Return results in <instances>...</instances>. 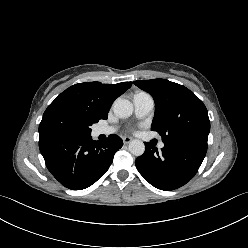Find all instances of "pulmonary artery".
Returning a JSON list of instances; mask_svg holds the SVG:
<instances>
[{
    "label": "pulmonary artery",
    "mask_w": 248,
    "mask_h": 248,
    "mask_svg": "<svg viewBox=\"0 0 248 248\" xmlns=\"http://www.w3.org/2000/svg\"><path fill=\"white\" fill-rule=\"evenodd\" d=\"M133 104H134V110L135 114L139 118H143L151 113V111L154 108V99L151 95L145 92H139L134 95L133 97ZM115 131L112 127H99L97 129L98 134H111ZM159 148L164 147V143H159Z\"/></svg>",
    "instance_id": "obj_1"
}]
</instances>
